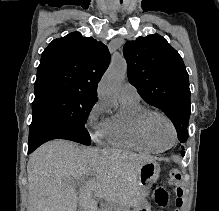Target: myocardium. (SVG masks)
I'll return each instance as SVG.
<instances>
[{"label": "myocardium", "mask_w": 219, "mask_h": 211, "mask_svg": "<svg viewBox=\"0 0 219 211\" xmlns=\"http://www.w3.org/2000/svg\"><path fill=\"white\" fill-rule=\"evenodd\" d=\"M156 118H162V119L166 120L173 131L174 141L171 145H169L167 147H161L157 143V141L155 140V138L152 134L151 125H152L153 120ZM139 126H140V130H141L143 136L145 137V139L160 150L170 149L173 146H175V144L177 143L178 135H177V130H176L175 124L173 123L171 118L163 112L155 111V110H146L141 115V117L139 119Z\"/></svg>", "instance_id": "obj_1"}]
</instances>
